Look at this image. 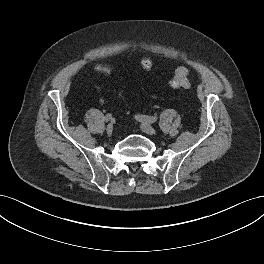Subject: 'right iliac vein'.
I'll use <instances>...</instances> for the list:
<instances>
[{"label":"right iliac vein","mask_w":264,"mask_h":264,"mask_svg":"<svg viewBox=\"0 0 264 264\" xmlns=\"http://www.w3.org/2000/svg\"><path fill=\"white\" fill-rule=\"evenodd\" d=\"M106 131H107V134H108V135H111L112 132H113V126H112L111 124L108 125Z\"/></svg>","instance_id":"obj_1"}]
</instances>
